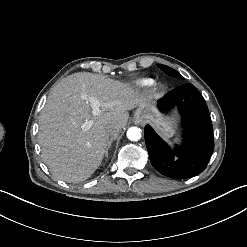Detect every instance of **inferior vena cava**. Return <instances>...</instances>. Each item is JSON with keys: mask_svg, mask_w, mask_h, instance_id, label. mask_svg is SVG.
Returning a JSON list of instances; mask_svg holds the SVG:
<instances>
[{"mask_svg": "<svg viewBox=\"0 0 247 247\" xmlns=\"http://www.w3.org/2000/svg\"><path fill=\"white\" fill-rule=\"evenodd\" d=\"M107 133L110 136V140L116 139L118 135L121 133L122 129L120 126L115 125V126H110L106 128Z\"/></svg>", "mask_w": 247, "mask_h": 247, "instance_id": "1", "label": "inferior vena cava"}]
</instances>
